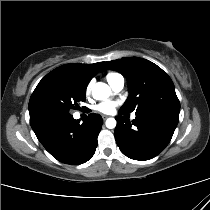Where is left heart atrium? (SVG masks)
<instances>
[{"mask_svg":"<svg viewBox=\"0 0 210 210\" xmlns=\"http://www.w3.org/2000/svg\"><path fill=\"white\" fill-rule=\"evenodd\" d=\"M116 105L117 104L114 101H104L95 105L93 109L102 114H111L114 112Z\"/></svg>","mask_w":210,"mask_h":210,"instance_id":"39dd6f15","label":"left heart atrium"}]
</instances>
